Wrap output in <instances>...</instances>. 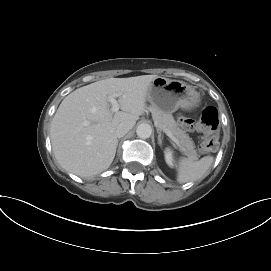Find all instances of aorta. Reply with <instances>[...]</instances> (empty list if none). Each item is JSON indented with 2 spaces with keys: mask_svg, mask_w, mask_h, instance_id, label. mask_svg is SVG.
<instances>
[{
  "mask_svg": "<svg viewBox=\"0 0 271 271\" xmlns=\"http://www.w3.org/2000/svg\"><path fill=\"white\" fill-rule=\"evenodd\" d=\"M137 136L141 139H147L152 134V127L147 123L138 125L136 129Z\"/></svg>",
  "mask_w": 271,
  "mask_h": 271,
  "instance_id": "obj_1",
  "label": "aorta"
}]
</instances>
